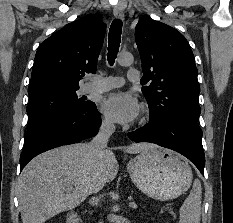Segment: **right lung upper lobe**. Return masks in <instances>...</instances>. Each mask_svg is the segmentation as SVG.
I'll return each instance as SVG.
<instances>
[{
    "label": "right lung upper lobe",
    "mask_w": 233,
    "mask_h": 223,
    "mask_svg": "<svg viewBox=\"0 0 233 223\" xmlns=\"http://www.w3.org/2000/svg\"><path fill=\"white\" fill-rule=\"evenodd\" d=\"M105 27L97 15H87L46 39L36 52L29 95L50 88L79 87L85 72L95 73Z\"/></svg>",
    "instance_id": "1"
}]
</instances>
